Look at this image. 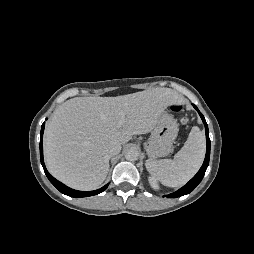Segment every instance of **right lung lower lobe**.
<instances>
[{
  "label": "right lung lower lobe",
  "instance_id": "right-lung-lower-lobe-1",
  "mask_svg": "<svg viewBox=\"0 0 254 254\" xmlns=\"http://www.w3.org/2000/svg\"><path fill=\"white\" fill-rule=\"evenodd\" d=\"M44 125L45 123L42 124L41 127V133H40V159H41V164L43 166V169L45 171V174L47 176V178L50 180V182L63 194L68 195L70 197H87V196H91V195H97L101 192H103L107 187L108 184H106L105 186H103L102 188L98 189V190H94V191H78V190H74L71 189L67 186H65L63 183L59 182L58 180H56L54 177H52L49 172L47 171L45 164H44V160H43V132H44Z\"/></svg>",
  "mask_w": 254,
  "mask_h": 254
}]
</instances>
